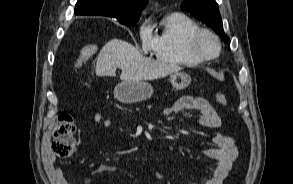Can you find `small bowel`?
I'll use <instances>...</instances> for the list:
<instances>
[{
  "label": "small bowel",
  "mask_w": 293,
  "mask_h": 184,
  "mask_svg": "<svg viewBox=\"0 0 293 184\" xmlns=\"http://www.w3.org/2000/svg\"><path fill=\"white\" fill-rule=\"evenodd\" d=\"M184 111L198 112L197 123L208 128H221L223 122L208 100L202 97L184 96L176 101L171 107L165 110L166 115L180 114ZM93 121L103 127H110L112 122L106 118L103 113L94 114ZM214 143L213 148H208L203 153L215 161V166L209 176H202L198 182L190 184H223L225 178L232 169L238 150L234 139L223 133H215L212 137ZM116 170L114 165L101 164L87 173L85 184L92 183V176L97 173H112ZM48 172L55 184H72L65 176L63 170L54 164L51 159L48 163ZM164 177L162 172L156 173V178L162 180Z\"/></svg>",
  "instance_id": "c3829d8e"
}]
</instances>
